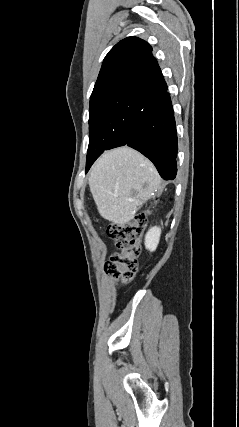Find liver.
Returning a JSON list of instances; mask_svg holds the SVG:
<instances>
[{
    "instance_id": "obj_1",
    "label": "liver",
    "mask_w": 239,
    "mask_h": 427,
    "mask_svg": "<svg viewBox=\"0 0 239 427\" xmlns=\"http://www.w3.org/2000/svg\"><path fill=\"white\" fill-rule=\"evenodd\" d=\"M89 187L100 215L126 224L154 192L161 194V178L154 165L124 146L105 152L93 165Z\"/></svg>"
}]
</instances>
